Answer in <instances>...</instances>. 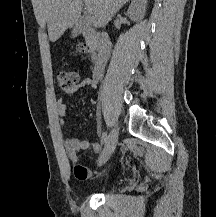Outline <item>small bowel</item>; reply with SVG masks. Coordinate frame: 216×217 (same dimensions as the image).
I'll use <instances>...</instances> for the list:
<instances>
[{
  "mask_svg": "<svg viewBox=\"0 0 216 217\" xmlns=\"http://www.w3.org/2000/svg\"><path fill=\"white\" fill-rule=\"evenodd\" d=\"M103 71L97 74H92L90 77L85 78L78 86L72 90H68L64 93V96L58 98L56 101V109L59 115V123L61 125L65 124V117L67 113V106L65 104V97L74 96L76 94L85 93L87 88H95L98 81L101 78ZM64 146L66 153L70 161L74 165L75 176L80 181L88 180L92 177L91 171L81 165L79 160V154L82 150L92 148L96 153L102 151L101 145L97 142H91L88 140H80L73 136H67L64 140Z\"/></svg>",
  "mask_w": 216,
  "mask_h": 217,
  "instance_id": "obj_1",
  "label": "small bowel"
}]
</instances>
